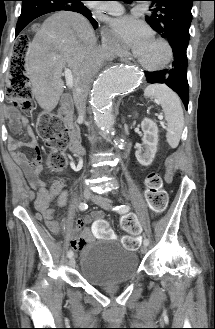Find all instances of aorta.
Wrapping results in <instances>:
<instances>
[{
	"label": "aorta",
	"instance_id": "obj_1",
	"mask_svg": "<svg viewBox=\"0 0 215 329\" xmlns=\"http://www.w3.org/2000/svg\"><path fill=\"white\" fill-rule=\"evenodd\" d=\"M141 80L137 69L126 65L106 68L94 81L91 89V106L96 125L111 130L114 125L112 101L116 94L134 90Z\"/></svg>",
	"mask_w": 215,
	"mask_h": 329
}]
</instances>
